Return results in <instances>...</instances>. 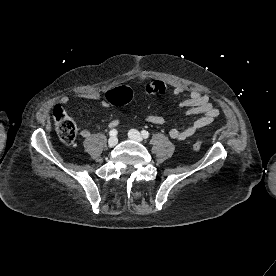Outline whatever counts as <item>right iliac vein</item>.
I'll use <instances>...</instances> for the list:
<instances>
[{
  "instance_id": "1",
  "label": "right iliac vein",
  "mask_w": 276,
  "mask_h": 276,
  "mask_svg": "<svg viewBox=\"0 0 276 276\" xmlns=\"http://www.w3.org/2000/svg\"><path fill=\"white\" fill-rule=\"evenodd\" d=\"M117 143H118V139L116 136H112L108 140L109 147H114V146H116Z\"/></svg>"
}]
</instances>
